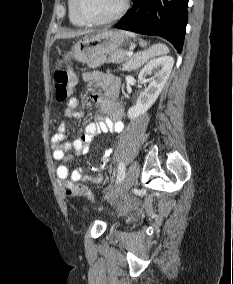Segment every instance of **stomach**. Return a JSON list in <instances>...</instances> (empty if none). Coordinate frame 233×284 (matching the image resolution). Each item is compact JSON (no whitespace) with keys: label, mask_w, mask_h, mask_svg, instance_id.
<instances>
[{"label":"stomach","mask_w":233,"mask_h":284,"mask_svg":"<svg viewBox=\"0 0 233 284\" xmlns=\"http://www.w3.org/2000/svg\"><path fill=\"white\" fill-rule=\"evenodd\" d=\"M128 38L121 32L102 30L96 34L85 36L72 48L70 55L81 63L91 64L114 51L121 49ZM63 62L58 60L54 72L62 69Z\"/></svg>","instance_id":"obj_1"}]
</instances>
